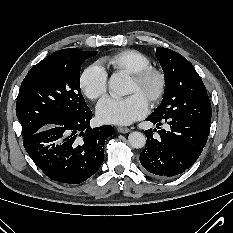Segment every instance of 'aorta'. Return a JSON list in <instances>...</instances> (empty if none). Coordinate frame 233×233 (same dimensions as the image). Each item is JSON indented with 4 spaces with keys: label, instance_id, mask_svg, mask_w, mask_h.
Returning <instances> with one entry per match:
<instances>
[{
    "label": "aorta",
    "instance_id": "aorta-1",
    "mask_svg": "<svg viewBox=\"0 0 233 233\" xmlns=\"http://www.w3.org/2000/svg\"><path fill=\"white\" fill-rule=\"evenodd\" d=\"M109 90L114 96H124L129 93L130 79L124 73H114L108 82ZM129 144L136 149L144 147L146 137L143 133L134 131L128 136Z\"/></svg>",
    "mask_w": 233,
    "mask_h": 233
}]
</instances>
